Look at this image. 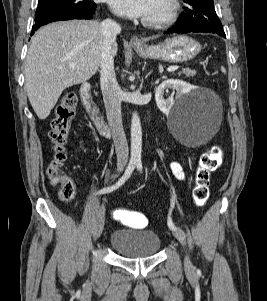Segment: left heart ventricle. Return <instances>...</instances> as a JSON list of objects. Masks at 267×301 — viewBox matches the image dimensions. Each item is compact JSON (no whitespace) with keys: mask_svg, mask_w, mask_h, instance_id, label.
<instances>
[{"mask_svg":"<svg viewBox=\"0 0 267 301\" xmlns=\"http://www.w3.org/2000/svg\"><path fill=\"white\" fill-rule=\"evenodd\" d=\"M165 0H152L150 10L145 18H155L160 16L166 9Z\"/></svg>","mask_w":267,"mask_h":301,"instance_id":"b2bd125f","label":"left heart ventricle"}]
</instances>
